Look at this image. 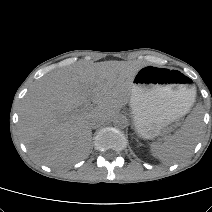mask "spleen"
I'll list each match as a JSON object with an SVG mask.
<instances>
[{"instance_id": "3e777b00", "label": "spleen", "mask_w": 212, "mask_h": 212, "mask_svg": "<svg viewBox=\"0 0 212 212\" xmlns=\"http://www.w3.org/2000/svg\"><path fill=\"white\" fill-rule=\"evenodd\" d=\"M201 133V119L188 117L181 130L174 136L164 143L151 144L150 152L163 163H177L192 153Z\"/></svg>"}]
</instances>
